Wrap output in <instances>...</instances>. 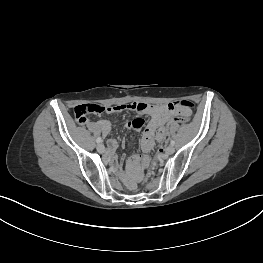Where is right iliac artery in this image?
Returning a JSON list of instances; mask_svg holds the SVG:
<instances>
[{
    "instance_id": "1",
    "label": "right iliac artery",
    "mask_w": 263,
    "mask_h": 263,
    "mask_svg": "<svg viewBox=\"0 0 263 263\" xmlns=\"http://www.w3.org/2000/svg\"><path fill=\"white\" fill-rule=\"evenodd\" d=\"M101 141H102L101 137H98V138L96 139V142H97L98 144H99Z\"/></svg>"
}]
</instances>
